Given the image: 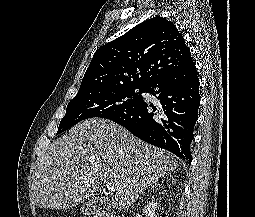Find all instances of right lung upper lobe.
I'll use <instances>...</instances> for the list:
<instances>
[{
    "label": "right lung upper lobe",
    "instance_id": "right-lung-upper-lobe-1",
    "mask_svg": "<svg viewBox=\"0 0 255 217\" xmlns=\"http://www.w3.org/2000/svg\"><path fill=\"white\" fill-rule=\"evenodd\" d=\"M192 59L176 26L153 17L101 46L82 79L78 92L132 86L147 87Z\"/></svg>",
    "mask_w": 255,
    "mask_h": 217
}]
</instances>
